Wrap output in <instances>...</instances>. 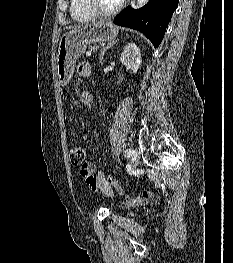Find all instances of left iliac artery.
<instances>
[{
	"mask_svg": "<svg viewBox=\"0 0 233 263\" xmlns=\"http://www.w3.org/2000/svg\"><path fill=\"white\" fill-rule=\"evenodd\" d=\"M132 152H133V150L127 149V150L125 151V155H126L127 157H130V155L132 154Z\"/></svg>",
	"mask_w": 233,
	"mask_h": 263,
	"instance_id": "44dca946",
	"label": "left iliac artery"
}]
</instances>
